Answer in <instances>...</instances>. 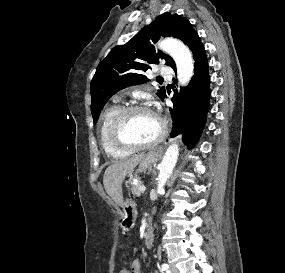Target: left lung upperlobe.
<instances>
[{
	"label": "left lung upper lobe",
	"instance_id": "1",
	"mask_svg": "<svg viewBox=\"0 0 285 273\" xmlns=\"http://www.w3.org/2000/svg\"><path fill=\"white\" fill-rule=\"evenodd\" d=\"M193 32L195 30L186 18L167 12L143 27L126 44L114 47L100 62L90 84L94 123L106 102L116 92L149 81L143 72L150 68V64H158L160 59H164L166 65H175L169 55L155 50L154 44L161 36H173L187 44ZM157 95L163 100L165 88L161 87Z\"/></svg>",
	"mask_w": 285,
	"mask_h": 273
}]
</instances>
